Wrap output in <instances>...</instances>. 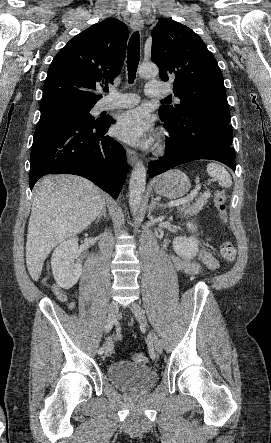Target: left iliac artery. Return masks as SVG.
Listing matches in <instances>:
<instances>
[{
  "label": "left iliac artery",
  "mask_w": 271,
  "mask_h": 443,
  "mask_svg": "<svg viewBox=\"0 0 271 443\" xmlns=\"http://www.w3.org/2000/svg\"><path fill=\"white\" fill-rule=\"evenodd\" d=\"M146 343H147V346H148V350H149V353H150V357H151L152 359H155V358H156V353H155V351H154V347H153V337H152L151 334H149V335L147 336Z\"/></svg>",
  "instance_id": "obj_1"
}]
</instances>
